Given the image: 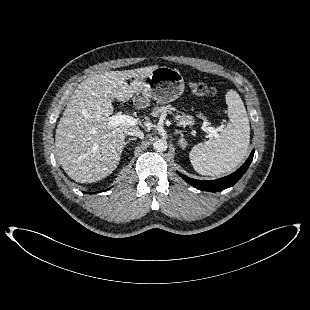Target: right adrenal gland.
<instances>
[{
	"label": "right adrenal gland",
	"mask_w": 310,
	"mask_h": 310,
	"mask_svg": "<svg viewBox=\"0 0 310 310\" xmlns=\"http://www.w3.org/2000/svg\"><path fill=\"white\" fill-rule=\"evenodd\" d=\"M137 138H129L126 142H124V146L123 147H125L130 141H132V140H136Z\"/></svg>",
	"instance_id": "right-adrenal-gland-1"
}]
</instances>
